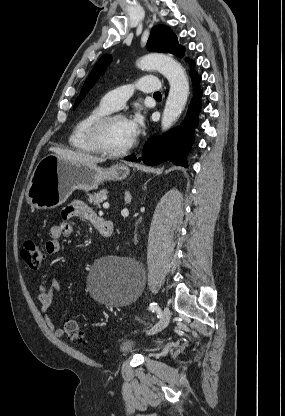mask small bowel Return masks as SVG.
<instances>
[{
	"mask_svg": "<svg viewBox=\"0 0 285 416\" xmlns=\"http://www.w3.org/2000/svg\"><path fill=\"white\" fill-rule=\"evenodd\" d=\"M78 217L80 219L90 222L96 227L100 218L89 206L82 201H74L66 205L60 212L61 222L58 225L52 226L49 230L50 239L46 242L45 248L49 255L58 254L61 250L60 240L64 236H69L74 232L71 219ZM60 289L58 280L53 279L48 284H41L39 287L38 299L41 304V311L48 328L54 335L61 337L64 335L62 328L58 327L51 315L50 308L53 303L55 293Z\"/></svg>",
	"mask_w": 285,
	"mask_h": 416,
	"instance_id": "c3829d8e",
	"label": "small bowel"
}]
</instances>
